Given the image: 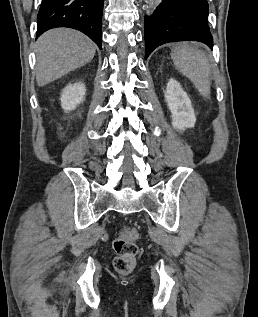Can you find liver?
Returning <instances> with one entry per match:
<instances>
[{"mask_svg":"<svg viewBox=\"0 0 258 317\" xmlns=\"http://www.w3.org/2000/svg\"><path fill=\"white\" fill-rule=\"evenodd\" d=\"M36 80L44 86L92 60L96 44L79 30L52 28L36 40Z\"/></svg>","mask_w":258,"mask_h":317,"instance_id":"1","label":"liver"}]
</instances>
